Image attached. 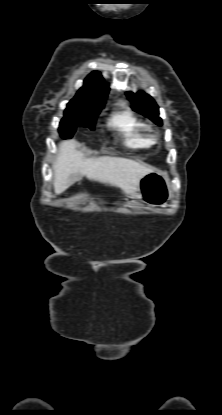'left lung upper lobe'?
<instances>
[{
  "label": "left lung upper lobe",
  "instance_id": "left-lung-upper-lobe-1",
  "mask_svg": "<svg viewBox=\"0 0 222 415\" xmlns=\"http://www.w3.org/2000/svg\"><path fill=\"white\" fill-rule=\"evenodd\" d=\"M126 95L131 101L134 111L143 114L157 125H162V120L159 117V107L150 95L143 91L137 93L126 92Z\"/></svg>",
  "mask_w": 222,
  "mask_h": 415
}]
</instances>
